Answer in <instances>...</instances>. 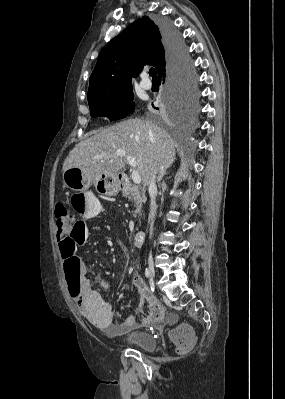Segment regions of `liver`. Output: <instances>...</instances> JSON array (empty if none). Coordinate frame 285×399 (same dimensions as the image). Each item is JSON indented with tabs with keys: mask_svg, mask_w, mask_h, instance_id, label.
I'll list each match as a JSON object with an SVG mask.
<instances>
[{
	"mask_svg": "<svg viewBox=\"0 0 285 399\" xmlns=\"http://www.w3.org/2000/svg\"><path fill=\"white\" fill-rule=\"evenodd\" d=\"M119 150L135 159L144 186L154 172L160 173L175 160V144L166 131L146 120L129 119L78 143L65 159L63 172L77 167L91 177L117 175L127 162L116 155Z\"/></svg>",
	"mask_w": 285,
	"mask_h": 399,
	"instance_id": "1",
	"label": "liver"
}]
</instances>
